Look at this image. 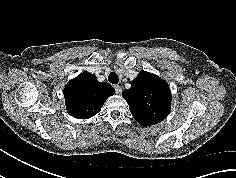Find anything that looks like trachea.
Segmentation results:
<instances>
[{"mask_svg":"<svg viewBox=\"0 0 236 178\" xmlns=\"http://www.w3.org/2000/svg\"><path fill=\"white\" fill-rule=\"evenodd\" d=\"M108 81L112 84H117L119 82L118 75L114 72H111L108 76Z\"/></svg>","mask_w":236,"mask_h":178,"instance_id":"3493384b","label":"trachea"}]
</instances>
